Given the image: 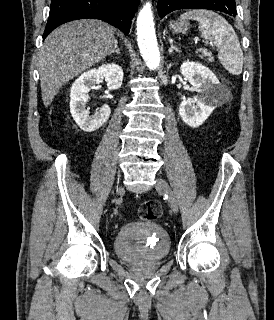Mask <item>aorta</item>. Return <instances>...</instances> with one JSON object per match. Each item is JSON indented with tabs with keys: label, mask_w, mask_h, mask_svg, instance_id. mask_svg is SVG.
Here are the masks:
<instances>
[{
	"label": "aorta",
	"mask_w": 274,
	"mask_h": 320,
	"mask_svg": "<svg viewBox=\"0 0 274 320\" xmlns=\"http://www.w3.org/2000/svg\"><path fill=\"white\" fill-rule=\"evenodd\" d=\"M137 42L140 53L151 70L160 64V53L154 29L152 6L146 3L137 17Z\"/></svg>",
	"instance_id": "762f6f07"
}]
</instances>
